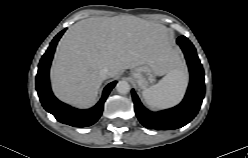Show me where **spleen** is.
Wrapping results in <instances>:
<instances>
[{
	"label": "spleen",
	"instance_id": "3e777b00",
	"mask_svg": "<svg viewBox=\"0 0 248 158\" xmlns=\"http://www.w3.org/2000/svg\"><path fill=\"white\" fill-rule=\"evenodd\" d=\"M188 83V74L182 64H177L157 84L145 89L142 96L154 109L169 108L183 97Z\"/></svg>",
	"mask_w": 248,
	"mask_h": 158
}]
</instances>
